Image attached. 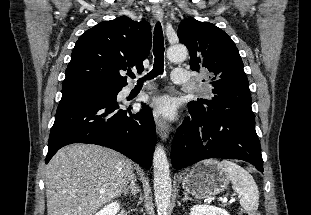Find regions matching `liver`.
<instances>
[{"instance_id":"1","label":"liver","mask_w":311,"mask_h":215,"mask_svg":"<svg viewBox=\"0 0 311 215\" xmlns=\"http://www.w3.org/2000/svg\"><path fill=\"white\" fill-rule=\"evenodd\" d=\"M132 162L92 144L61 148L46 168L48 215H92L121 195L133 176Z\"/></svg>"}]
</instances>
